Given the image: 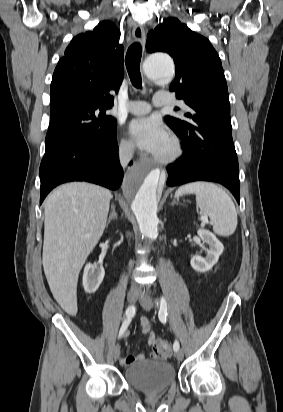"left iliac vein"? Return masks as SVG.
Returning <instances> with one entry per match:
<instances>
[{"label":"left iliac vein","instance_id":"1","mask_svg":"<svg viewBox=\"0 0 283 412\" xmlns=\"http://www.w3.org/2000/svg\"><path fill=\"white\" fill-rule=\"evenodd\" d=\"M140 303L142 305V307L145 310H151L153 307V300L152 298L148 295V293H146L145 291H141L140 297H139ZM176 358L178 361H182L184 358V354L181 350H178L176 352Z\"/></svg>","mask_w":283,"mask_h":412}]
</instances>
